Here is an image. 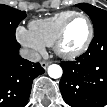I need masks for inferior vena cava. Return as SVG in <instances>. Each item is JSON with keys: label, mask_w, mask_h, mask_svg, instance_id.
Masks as SVG:
<instances>
[{"label": "inferior vena cava", "mask_w": 107, "mask_h": 107, "mask_svg": "<svg viewBox=\"0 0 107 107\" xmlns=\"http://www.w3.org/2000/svg\"><path fill=\"white\" fill-rule=\"evenodd\" d=\"M20 55L22 58L27 59L34 63L39 62L41 60V56L39 53L27 48L20 49Z\"/></svg>", "instance_id": "602c4592"}]
</instances>
